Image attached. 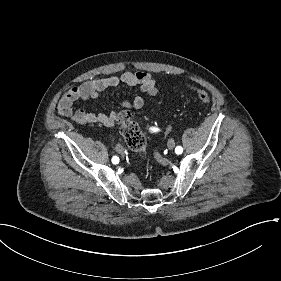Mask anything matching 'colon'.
Returning a JSON list of instances; mask_svg holds the SVG:
<instances>
[{
	"instance_id": "1",
	"label": "colon",
	"mask_w": 281,
	"mask_h": 281,
	"mask_svg": "<svg viewBox=\"0 0 281 281\" xmlns=\"http://www.w3.org/2000/svg\"><path fill=\"white\" fill-rule=\"evenodd\" d=\"M196 97L199 102L204 104H207L211 101V96L203 91L197 92ZM116 122L119 125L120 132L127 144L134 151L144 154L146 137L141 131L138 123L131 119L130 113L121 112L117 116Z\"/></svg>"
}]
</instances>
